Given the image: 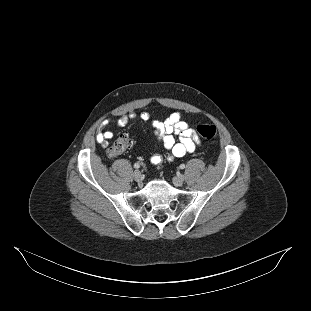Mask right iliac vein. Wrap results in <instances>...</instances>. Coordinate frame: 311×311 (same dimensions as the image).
I'll return each instance as SVG.
<instances>
[{"label":"right iliac vein","instance_id":"1","mask_svg":"<svg viewBox=\"0 0 311 311\" xmlns=\"http://www.w3.org/2000/svg\"><path fill=\"white\" fill-rule=\"evenodd\" d=\"M133 178L136 182H140L142 180V175L140 173V171L136 170L134 173H133Z\"/></svg>","mask_w":311,"mask_h":311}]
</instances>
